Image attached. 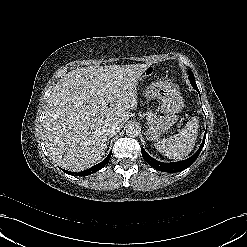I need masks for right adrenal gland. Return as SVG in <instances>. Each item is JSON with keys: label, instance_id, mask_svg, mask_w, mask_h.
<instances>
[{"label": "right adrenal gland", "instance_id": "right-adrenal-gland-1", "mask_svg": "<svg viewBox=\"0 0 247 247\" xmlns=\"http://www.w3.org/2000/svg\"><path fill=\"white\" fill-rule=\"evenodd\" d=\"M109 144V138H108V142H107V145Z\"/></svg>", "mask_w": 247, "mask_h": 247}]
</instances>
